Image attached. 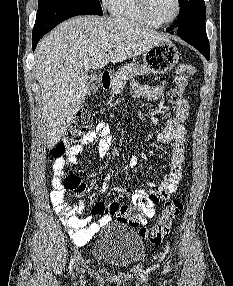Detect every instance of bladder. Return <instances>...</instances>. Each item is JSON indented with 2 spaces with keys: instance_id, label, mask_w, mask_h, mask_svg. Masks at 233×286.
<instances>
[{
  "instance_id": "bladder-1",
  "label": "bladder",
  "mask_w": 233,
  "mask_h": 286,
  "mask_svg": "<svg viewBox=\"0 0 233 286\" xmlns=\"http://www.w3.org/2000/svg\"><path fill=\"white\" fill-rule=\"evenodd\" d=\"M95 263L113 270H127L144 261L145 245L140 236L123 223H111L92 248Z\"/></svg>"
}]
</instances>
